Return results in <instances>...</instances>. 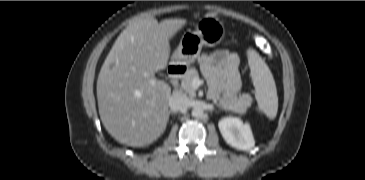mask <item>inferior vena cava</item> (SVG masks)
<instances>
[{"label":"inferior vena cava","mask_w":365,"mask_h":180,"mask_svg":"<svg viewBox=\"0 0 365 180\" xmlns=\"http://www.w3.org/2000/svg\"><path fill=\"white\" fill-rule=\"evenodd\" d=\"M189 99L187 96L181 93H174L170 96L168 105L172 112L182 111L189 106Z\"/></svg>","instance_id":"inferior-vena-cava-1"}]
</instances>
